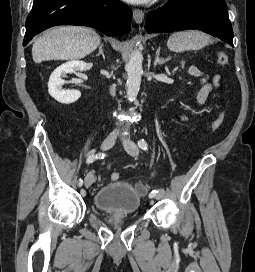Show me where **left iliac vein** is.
Here are the masks:
<instances>
[{
    "label": "left iliac vein",
    "instance_id": "4c4485c4",
    "mask_svg": "<svg viewBox=\"0 0 255 272\" xmlns=\"http://www.w3.org/2000/svg\"><path fill=\"white\" fill-rule=\"evenodd\" d=\"M123 145L125 150L131 155V156H137L139 154L138 146L131 140H124ZM164 196V190L160 189L158 190V193L155 195L156 199H161Z\"/></svg>",
    "mask_w": 255,
    "mask_h": 272
}]
</instances>
